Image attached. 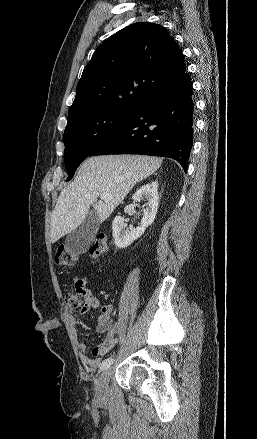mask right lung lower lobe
I'll use <instances>...</instances> for the list:
<instances>
[{
	"instance_id": "obj_1",
	"label": "right lung lower lobe",
	"mask_w": 257,
	"mask_h": 439,
	"mask_svg": "<svg viewBox=\"0 0 257 439\" xmlns=\"http://www.w3.org/2000/svg\"><path fill=\"white\" fill-rule=\"evenodd\" d=\"M188 73L149 95L89 156L144 154L175 159L187 170L194 103Z\"/></svg>"
}]
</instances>
